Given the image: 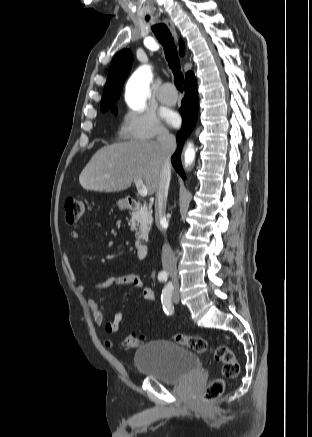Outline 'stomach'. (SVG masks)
Listing matches in <instances>:
<instances>
[{"label":"stomach","instance_id":"1","mask_svg":"<svg viewBox=\"0 0 312 437\" xmlns=\"http://www.w3.org/2000/svg\"><path fill=\"white\" fill-rule=\"evenodd\" d=\"M118 205H119V207L122 208V209H124V208L127 207V203L125 202V200H120V201L118 202Z\"/></svg>","mask_w":312,"mask_h":437}]
</instances>
